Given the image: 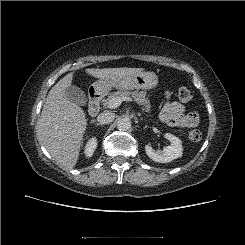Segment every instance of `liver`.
Wrapping results in <instances>:
<instances>
[{
    "instance_id": "6515ba94",
    "label": "liver",
    "mask_w": 245,
    "mask_h": 245,
    "mask_svg": "<svg viewBox=\"0 0 245 245\" xmlns=\"http://www.w3.org/2000/svg\"><path fill=\"white\" fill-rule=\"evenodd\" d=\"M143 68H88L85 72L99 79L124 78L143 72ZM73 73L60 79L49 91L38 121L39 139L53 160L63 168L72 169L79 158L87 127L85 113L71 102L65 90L71 85Z\"/></svg>"
}]
</instances>
